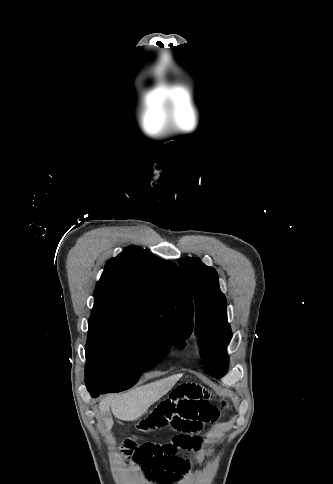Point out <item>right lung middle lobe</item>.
Here are the masks:
<instances>
[{
	"label": "right lung middle lobe",
	"mask_w": 333,
	"mask_h": 484,
	"mask_svg": "<svg viewBox=\"0 0 333 484\" xmlns=\"http://www.w3.org/2000/svg\"><path fill=\"white\" fill-rule=\"evenodd\" d=\"M191 331L180 321L155 322L120 314H91L86 345L87 388L120 392L155 367Z\"/></svg>",
	"instance_id": "dd1d6c3e"
}]
</instances>
